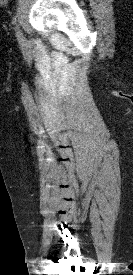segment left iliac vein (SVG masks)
<instances>
[{
  "instance_id": "4c4485c4",
  "label": "left iliac vein",
  "mask_w": 133,
  "mask_h": 275,
  "mask_svg": "<svg viewBox=\"0 0 133 275\" xmlns=\"http://www.w3.org/2000/svg\"><path fill=\"white\" fill-rule=\"evenodd\" d=\"M19 31H21L18 27L16 28V32H19Z\"/></svg>"
}]
</instances>
